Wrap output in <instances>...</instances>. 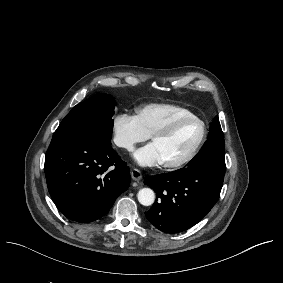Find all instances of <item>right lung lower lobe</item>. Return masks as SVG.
<instances>
[{"mask_svg":"<svg viewBox=\"0 0 283 283\" xmlns=\"http://www.w3.org/2000/svg\"><path fill=\"white\" fill-rule=\"evenodd\" d=\"M44 170L59 211L80 223L106 215L131 180L129 167L111 145L84 138L52 139Z\"/></svg>","mask_w":283,"mask_h":283,"instance_id":"1","label":"right lung lower lobe"}]
</instances>
